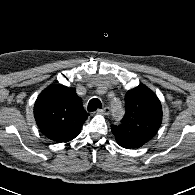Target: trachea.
Wrapping results in <instances>:
<instances>
[{
	"label": "trachea",
	"mask_w": 195,
	"mask_h": 195,
	"mask_svg": "<svg viewBox=\"0 0 195 195\" xmlns=\"http://www.w3.org/2000/svg\"><path fill=\"white\" fill-rule=\"evenodd\" d=\"M97 108H102V104L99 99L93 98L88 103V110L95 111Z\"/></svg>",
	"instance_id": "3493384b"
}]
</instances>
